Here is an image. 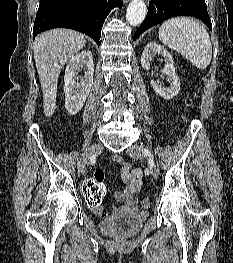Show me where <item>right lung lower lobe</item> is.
Listing matches in <instances>:
<instances>
[{
	"mask_svg": "<svg viewBox=\"0 0 233 263\" xmlns=\"http://www.w3.org/2000/svg\"><path fill=\"white\" fill-rule=\"evenodd\" d=\"M122 0H40L33 27V37L53 28H70L85 33L101 44L105 18Z\"/></svg>",
	"mask_w": 233,
	"mask_h": 263,
	"instance_id": "98d812e1",
	"label": "right lung lower lobe"
}]
</instances>
